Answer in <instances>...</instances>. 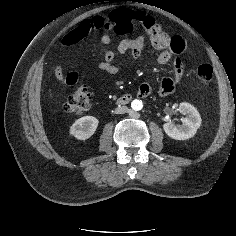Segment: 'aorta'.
Masks as SVG:
<instances>
[{
	"instance_id": "aorta-1",
	"label": "aorta",
	"mask_w": 236,
	"mask_h": 236,
	"mask_svg": "<svg viewBox=\"0 0 236 236\" xmlns=\"http://www.w3.org/2000/svg\"><path fill=\"white\" fill-rule=\"evenodd\" d=\"M131 108L134 111H140L143 108V103L141 100L135 99L131 102Z\"/></svg>"
}]
</instances>
